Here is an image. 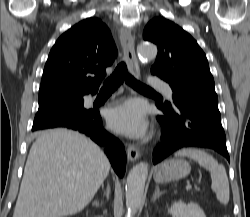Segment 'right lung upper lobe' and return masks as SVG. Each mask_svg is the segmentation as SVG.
<instances>
[{
    "label": "right lung upper lobe",
    "mask_w": 250,
    "mask_h": 217,
    "mask_svg": "<svg viewBox=\"0 0 250 217\" xmlns=\"http://www.w3.org/2000/svg\"><path fill=\"white\" fill-rule=\"evenodd\" d=\"M117 49L107 26L87 18L59 37L48 56L39 107L94 94L112 65ZM91 75H94L92 77Z\"/></svg>",
    "instance_id": "1"
}]
</instances>
